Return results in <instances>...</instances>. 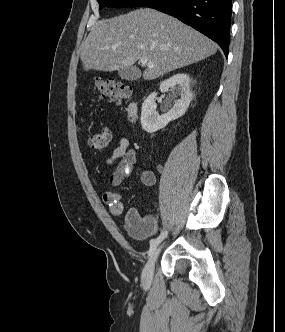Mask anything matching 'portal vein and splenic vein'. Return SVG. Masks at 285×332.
<instances>
[{"label":"portal vein and splenic vein","mask_w":285,"mask_h":332,"mask_svg":"<svg viewBox=\"0 0 285 332\" xmlns=\"http://www.w3.org/2000/svg\"><path fill=\"white\" fill-rule=\"evenodd\" d=\"M140 62L142 65H147L149 68H153L155 66L153 63L149 62L148 58L146 57H142Z\"/></svg>","instance_id":"obj_1"}]
</instances>
